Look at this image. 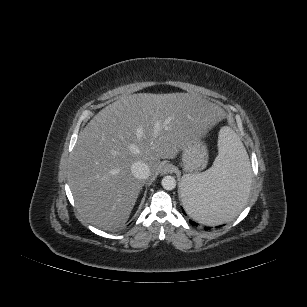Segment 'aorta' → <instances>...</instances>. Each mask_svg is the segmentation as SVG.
<instances>
[{
	"label": "aorta",
	"instance_id": "aorta-1",
	"mask_svg": "<svg viewBox=\"0 0 307 307\" xmlns=\"http://www.w3.org/2000/svg\"><path fill=\"white\" fill-rule=\"evenodd\" d=\"M161 184L165 190H173L176 187V179L173 176L167 175L163 177Z\"/></svg>",
	"mask_w": 307,
	"mask_h": 307
}]
</instances>
